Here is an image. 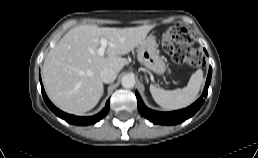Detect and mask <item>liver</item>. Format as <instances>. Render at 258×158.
<instances>
[{
  "mask_svg": "<svg viewBox=\"0 0 258 158\" xmlns=\"http://www.w3.org/2000/svg\"><path fill=\"white\" fill-rule=\"evenodd\" d=\"M152 26L109 28L81 25L70 29L47 54L43 82L50 100L61 110L83 114L94 108L103 93L100 72L112 68L117 73L126 65V55L147 36ZM108 41L107 56L97 50L100 40Z\"/></svg>",
  "mask_w": 258,
  "mask_h": 158,
  "instance_id": "1",
  "label": "liver"
}]
</instances>
